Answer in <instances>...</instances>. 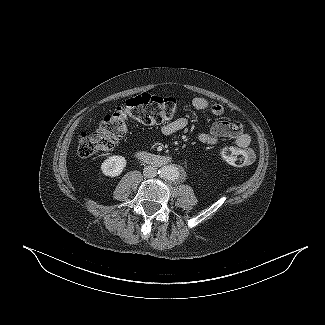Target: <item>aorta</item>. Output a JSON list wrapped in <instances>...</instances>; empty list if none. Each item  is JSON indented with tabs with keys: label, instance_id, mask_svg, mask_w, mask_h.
Masks as SVG:
<instances>
[{
	"label": "aorta",
	"instance_id": "aorta-1",
	"mask_svg": "<svg viewBox=\"0 0 325 325\" xmlns=\"http://www.w3.org/2000/svg\"><path fill=\"white\" fill-rule=\"evenodd\" d=\"M158 173L162 178L170 181H176L180 177L179 168L174 165L163 166Z\"/></svg>",
	"mask_w": 325,
	"mask_h": 325
}]
</instances>
